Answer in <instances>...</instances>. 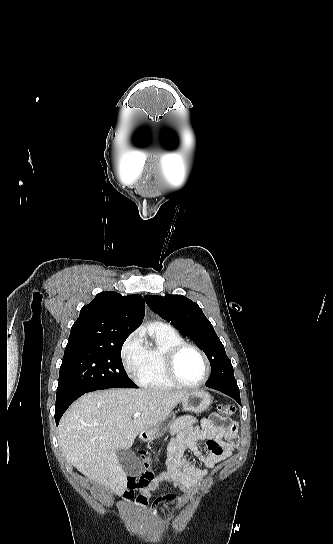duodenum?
<instances>
[{
	"label": "duodenum",
	"instance_id": "obj_1",
	"mask_svg": "<svg viewBox=\"0 0 333 544\" xmlns=\"http://www.w3.org/2000/svg\"><path fill=\"white\" fill-rule=\"evenodd\" d=\"M146 436L145 435H142L141 438L144 439Z\"/></svg>",
	"mask_w": 333,
	"mask_h": 544
}]
</instances>
